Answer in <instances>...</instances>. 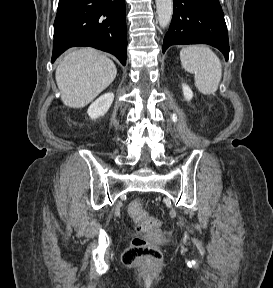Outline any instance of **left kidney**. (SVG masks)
<instances>
[{"mask_svg":"<svg viewBox=\"0 0 273 288\" xmlns=\"http://www.w3.org/2000/svg\"><path fill=\"white\" fill-rule=\"evenodd\" d=\"M183 95L187 101H190L193 97V92L186 84H182Z\"/></svg>","mask_w":273,"mask_h":288,"instance_id":"5707ae66","label":"left kidney"}]
</instances>
